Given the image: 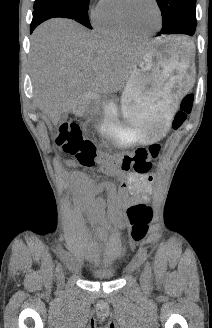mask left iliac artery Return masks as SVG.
<instances>
[{
	"label": "left iliac artery",
	"instance_id": "44dca946",
	"mask_svg": "<svg viewBox=\"0 0 212 328\" xmlns=\"http://www.w3.org/2000/svg\"><path fill=\"white\" fill-rule=\"evenodd\" d=\"M145 273H146V276H147V280L150 282L151 275H152V270H151V266H150V263L149 262H146V265H145Z\"/></svg>",
	"mask_w": 212,
	"mask_h": 328
}]
</instances>
